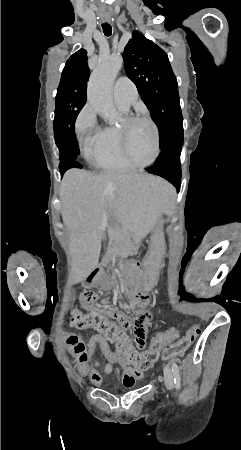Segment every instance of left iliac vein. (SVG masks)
I'll use <instances>...</instances> for the list:
<instances>
[{
  "mask_svg": "<svg viewBox=\"0 0 241 450\" xmlns=\"http://www.w3.org/2000/svg\"><path fill=\"white\" fill-rule=\"evenodd\" d=\"M164 380L167 389L169 391H172L174 387V381H173V374L169 365L164 366Z\"/></svg>",
  "mask_w": 241,
  "mask_h": 450,
  "instance_id": "left-iliac-vein-1",
  "label": "left iliac vein"
}]
</instances>
